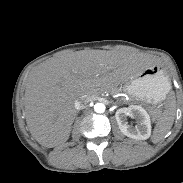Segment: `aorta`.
I'll return each instance as SVG.
<instances>
[{"label":"aorta","mask_w":183,"mask_h":183,"mask_svg":"<svg viewBox=\"0 0 183 183\" xmlns=\"http://www.w3.org/2000/svg\"><path fill=\"white\" fill-rule=\"evenodd\" d=\"M105 109H106V107H105V105L103 103H96L94 105V110L97 113H104Z\"/></svg>","instance_id":"obj_1"}]
</instances>
